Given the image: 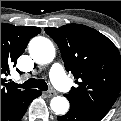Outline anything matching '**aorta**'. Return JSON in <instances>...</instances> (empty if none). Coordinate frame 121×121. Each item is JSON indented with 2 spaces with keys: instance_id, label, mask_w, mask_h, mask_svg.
Masks as SVG:
<instances>
[{
  "instance_id": "obj_1",
  "label": "aorta",
  "mask_w": 121,
  "mask_h": 121,
  "mask_svg": "<svg viewBox=\"0 0 121 121\" xmlns=\"http://www.w3.org/2000/svg\"><path fill=\"white\" fill-rule=\"evenodd\" d=\"M30 56L38 63L48 64L55 58V47L53 43L45 37H34L28 46ZM53 112L64 115L69 109V102L65 97H53L50 102Z\"/></svg>"
}]
</instances>
